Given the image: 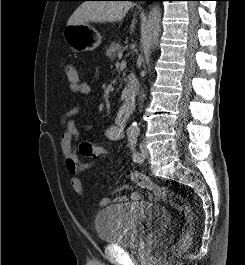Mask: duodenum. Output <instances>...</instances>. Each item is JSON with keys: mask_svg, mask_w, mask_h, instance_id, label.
Segmentation results:
<instances>
[{"mask_svg": "<svg viewBox=\"0 0 245 265\" xmlns=\"http://www.w3.org/2000/svg\"><path fill=\"white\" fill-rule=\"evenodd\" d=\"M127 84L123 89V97L128 105L135 103L139 91V82L135 74H128L126 77Z\"/></svg>", "mask_w": 245, "mask_h": 265, "instance_id": "1", "label": "duodenum"}]
</instances>
